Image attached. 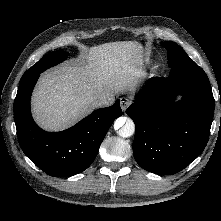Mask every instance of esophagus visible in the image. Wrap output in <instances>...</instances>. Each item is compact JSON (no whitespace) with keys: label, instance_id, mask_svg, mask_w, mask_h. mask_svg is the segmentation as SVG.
Masks as SVG:
<instances>
[{"label":"esophagus","instance_id":"1","mask_svg":"<svg viewBox=\"0 0 221 221\" xmlns=\"http://www.w3.org/2000/svg\"><path fill=\"white\" fill-rule=\"evenodd\" d=\"M131 103H132V101L129 98L122 97L120 99V105H121L122 111L125 112Z\"/></svg>","mask_w":221,"mask_h":221}]
</instances>
